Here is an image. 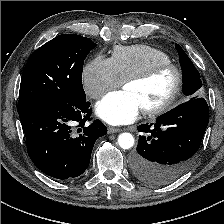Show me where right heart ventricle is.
Returning <instances> with one entry per match:
<instances>
[{"instance_id": "right-heart-ventricle-1", "label": "right heart ventricle", "mask_w": 224, "mask_h": 224, "mask_svg": "<svg viewBox=\"0 0 224 224\" xmlns=\"http://www.w3.org/2000/svg\"><path fill=\"white\" fill-rule=\"evenodd\" d=\"M110 59L122 81L154 64L171 62V58L166 52L142 44L116 46Z\"/></svg>"}]
</instances>
